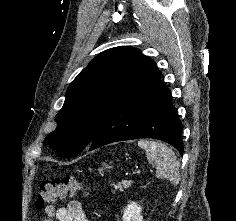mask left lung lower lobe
Wrapping results in <instances>:
<instances>
[{
    "label": "left lung lower lobe",
    "instance_id": "0a47b994",
    "mask_svg": "<svg viewBox=\"0 0 236 221\" xmlns=\"http://www.w3.org/2000/svg\"><path fill=\"white\" fill-rule=\"evenodd\" d=\"M170 90L155 70L107 117L90 143L93 150L103 145L138 138H154L174 146L183 155V125L171 103Z\"/></svg>",
    "mask_w": 236,
    "mask_h": 221
}]
</instances>
